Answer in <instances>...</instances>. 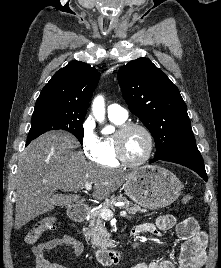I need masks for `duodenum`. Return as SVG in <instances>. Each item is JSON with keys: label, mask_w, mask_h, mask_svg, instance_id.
I'll return each mask as SVG.
<instances>
[{"label": "duodenum", "mask_w": 221, "mask_h": 268, "mask_svg": "<svg viewBox=\"0 0 221 268\" xmlns=\"http://www.w3.org/2000/svg\"><path fill=\"white\" fill-rule=\"evenodd\" d=\"M89 214L86 206H74L69 210L70 218L75 222L84 221ZM96 260L102 265H117L123 258V251L117 249H96L94 251Z\"/></svg>", "instance_id": "1"}]
</instances>
